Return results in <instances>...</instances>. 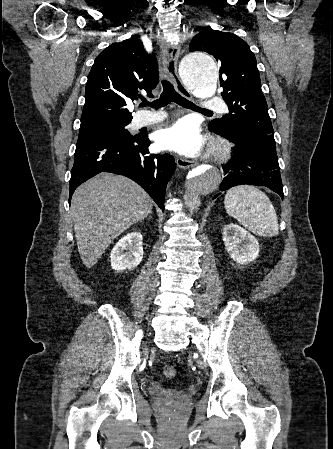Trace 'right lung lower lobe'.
I'll use <instances>...</instances> for the list:
<instances>
[{
    "mask_svg": "<svg viewBox=\"0 0 333 449\" xmlns=\"http://www.w3.org/2000/svg\"><path fill=\"white\" fill-rule=\"evenodd\" d=\"M149 145L148 134L78 139L69 202L81 183L100 172H111L134 180L164 210L166 185L175 171V160L168 154H150Z\"/></svg>",
    "mask_w": 333,
    "mask_h": 449,
    "instance_id": "98d812e1",
    "label": "right lung lower lobe"
}]
</instances>
